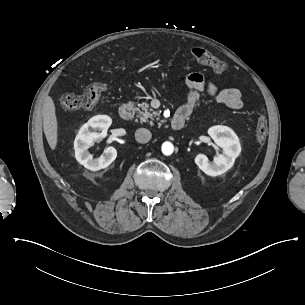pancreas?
<instances>
[{
  "label": "pancreas",
  "instance_id": "obj_1",
  "mask_svg": "<svg viewBox=\"0 0 305 305\" xmlns=\"http://www.w3.org/2000/svg\"><path fill=\"white\" fill-rule=\"evenodd\" d=\"M139 107L141 109H138L137 117L140 119L141 122H149V124L153 126V120H159V112L153 111L152 109L149 110L148 103H141L139 104Z\"/></svg>",
  "mask_w": 305,
  "mask_h": 305
}]
</instances>
